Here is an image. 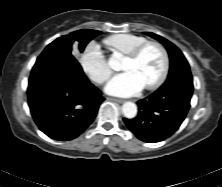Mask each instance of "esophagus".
<instances>
[{"mask_svg": "<svg viewBox=\"0 0 222 187\" xmlns=\"http://www.w3.org/2000/svg\"><path fill=\"white\" fill-rule=\"evenodd\" d=\"M107 100L118 102V103H123L124 102L122 99H117V98H113V97H108Z\"/></svg>", "mask_w": 222, "mask_h": 187, "instance_id": "obj_1", "label": "esophagus"}]
</instances>
